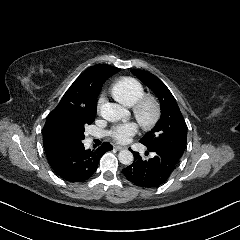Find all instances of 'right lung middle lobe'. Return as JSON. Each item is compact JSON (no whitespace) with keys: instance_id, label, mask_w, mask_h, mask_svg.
<instances>
[{"instance_id":"obj_1","label":"right lung middle lobe","mask_w":240,"mask_h":240,"mask_svg":"<svg viewBox=\"0 0 240 240\" xmlns=\"http://www.w3.org/2000/svg\"><path fill=\"white\" fill-rule=\"evenodd\" d=\"M96 116L91 112H70L56 117L51 131V139L56 147L78 146L85 138V126L93 123Z\"/></svg>"}]
</instances>
